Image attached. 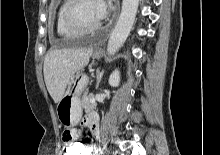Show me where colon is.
<instances>
[{
    "label": "colon",
    "mask_w": 220,
    "mask_h": 155,
    "mask_svg": "<svg viewBox=\"0 0 220 155\" xmlns=\"http://www.w3.org/2000/svg\"><path fill=\"white\" fill-rule=\"evenodd\" d=\"M65 142V146H61V155H84L86 142H79L78 139Z\"/></svg>",
    "instance_id": "5ec220e1"
}]
</instances>
